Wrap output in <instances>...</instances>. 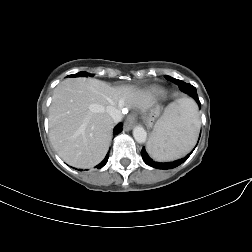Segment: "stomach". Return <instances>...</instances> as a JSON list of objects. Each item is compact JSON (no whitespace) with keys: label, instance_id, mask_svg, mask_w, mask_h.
<instances>
[{"label":"stomach","instance_id":"stomach-1","mask_svg":"<svg viewBox=\"0 0 252 252\" xmlns=\"http://www.w3.org/2000/svg\"><path fill=\"white\" fill-rule=\"evenodd\" d=\"M157 115H158V111L156 110V111H154V113L152 114V116L156 117ZM150 120H153V118L150 117Z\"/></svg>","mask_w":252,"mask_h":252}]
</instances>
